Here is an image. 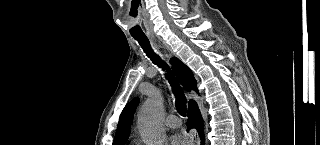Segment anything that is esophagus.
I'll return each instance as SVG.
<instances>
[{
  "label": "esophagus",
  "instance_id": "34e87169",
  "mask_svg": "<svg viewBox=\"0 0 320 145\" xmlns=\"http://www.w3.org/2000/svg\"><path fill=\"white\" fill-rule=\"evenodd\" d=\"M200 139L197 132L192 129L189 134V143L190 145H199Z\"/></svg>",
  "mask_w": 320,
  "mask_h": 145
}]
</instances>
